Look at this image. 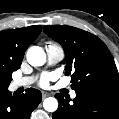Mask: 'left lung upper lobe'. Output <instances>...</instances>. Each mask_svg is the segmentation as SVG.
Wrapping results in <instances>:
<instances>
[{
	"mask_svg": "<svg viewBox=\"0 0 119 119\" xmlns=\"http://www.w3.org/2000/svg\"><path fill=\"white\" fill-rule=\"evenodd\" d=\"M44 32L59 42L66 55V75L76 92L119 95V74L114 59L97 36L66 25L44 26Z\"/></svg>",
	"mask_w": 119,
	"mask_h": 119,
	"instance_id": "left-lung-upper-lobe-1",
	"label": "left lung upper lobe"
}]
</instances>
